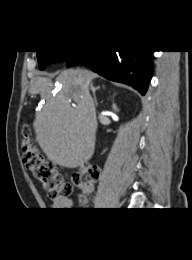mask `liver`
<instances>
[{
  "label": "liver",
  "instance_id": "6515ba94",
  "mask_svg": "<svg viewBox=\"0 0 192 260\" xmlns=\"http://www.w3.org/2000/svg\"><path fill=\"white\" fill-rule=\"evenodd\" d=\"M96 77L92 71L71 68L56 77L61 89L55 96L48 77L38 76L30 88L31 94L40 93L46 100L33 127L40 148L54 164L77 168L94 154L98 123L89 84ZM71 100L76 103L75 108L71 107Z\"/></svg>",
  "mask_w": 192,
  "mask_h": 260
}]
</instances>
